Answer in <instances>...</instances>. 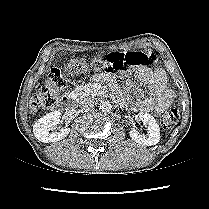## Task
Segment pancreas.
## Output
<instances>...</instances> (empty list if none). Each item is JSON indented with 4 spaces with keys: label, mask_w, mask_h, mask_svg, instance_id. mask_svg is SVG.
<instances>
[{
    "label": "pancreas",
    "mask_w": 209,
    "mask_h": 209,
    "mask_svg": "<svg viewBox=\"0 0 209 209\" xmlns=\"http://www.w3.org/2000/svg\"><path fill=\"white\" fill-rule=\"evenodd\" d=\"M103 92L100 90H97L92 84H85L82 86L77 87L74 90V94L78 99L87 97V96H99L101 95Z\"/></svg>",
    "instance_id": "obj_1"
}]
</instances>
